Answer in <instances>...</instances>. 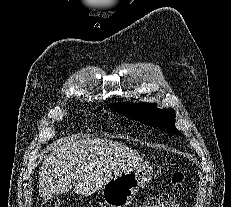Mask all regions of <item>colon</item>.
Returning a JSON list of instances; mask_svg holds the SVG:
<instances>
[{"label": "colon", "mask_w": 231, "mask_h": 207, "mask_svg": "<svg viewBox=\"0 0 231 207\" xmlns=\"http://www.w3.org/2000/svg\"><path fill=\"white\" fill-rule=\"evenodd\" d=\"M185 177L181 171H174L172 173V181L176 185H182ZM42 207H63L62 203L55 198L48 199L44 202ZM137 207H181L178 198L172 193H162L151 197L146 203Z\"/></svg>", "instance_id": "colon-1"}]
</instances>
